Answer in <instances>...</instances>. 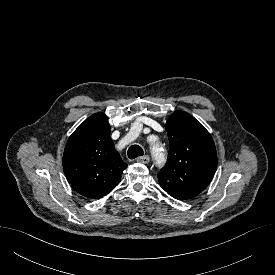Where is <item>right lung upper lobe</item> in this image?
<instances>
[{"label":"right lung upper lobe","instance_id":"obj_1","mask_svg":"<svg viewBox=\"0 0 275 275\" xmlns=\"http://www.w3.org/2000/svg\"><path fill=\"white\" fill-rule=\"evenodd\" d=\"M127 167L110 138L104 113L86 119L70 136L63 154V168L71 187L79 194L98 199L119 184Z\"/></svg>","mask_w":275,"mask_h":275}]
</instances>
